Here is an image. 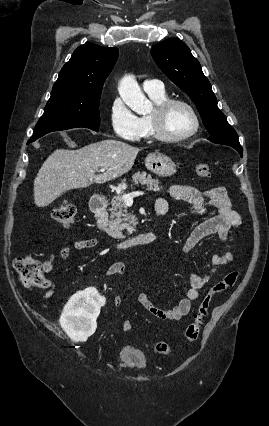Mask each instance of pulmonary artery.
<instances>
[{
    "label": "pulmonary artery",
    "instance_id": "pulmonary-artery-1",
    "mask_svg": "<svg viewBox=\"0 0 269 426\" xmlns=\"http://www.w3.org/2000/svg\"><path fill=\"white\" fill-rule=\"evenodd\" d=\"M142 87L147 94L161 95L165 93L163 83L158 80H145Z\"/></svg>",
    "mask_w": 269,
    "mask_h": 426
}]
</instances>
